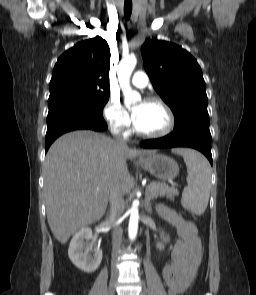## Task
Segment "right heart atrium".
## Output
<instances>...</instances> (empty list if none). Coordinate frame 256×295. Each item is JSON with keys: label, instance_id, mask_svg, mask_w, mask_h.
<instances>
[{"label": "right heart atrium", "instance_id": "d8ad5b80", "mask_svg": "<svg viewBox=\"0 0 256 295\" xmlns=\"http://www.w3.org/2000/svg\"><path fill=\"white\" fill-rule=\"evenodd\" d=\"M103 117L108 126L116 133L127 134L130 129V119L127 111L121 106L120 102L112 98L104 109Z\"/></svg>", "mask_w": 256, "mask_h": 295}]
</instances>
